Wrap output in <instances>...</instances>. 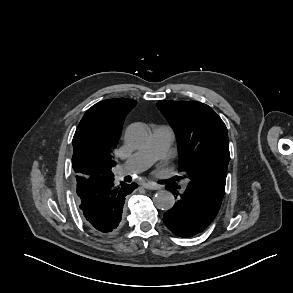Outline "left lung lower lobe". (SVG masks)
I'll return each instance as SVG.
<instances>
[{
  "label": "left lung lower lobe",
  "instance_id": "0a47b994",
  "mask_svg": "<svg viewBox=\"0 0 293 293\" xmlns=\"http://www.w3.org/2000/svg\"><path fill=\"white\" fill-rule=\"evenodd\" d=\"M176 199L174 206L164 213L163 221L175 235L185 238L202 232L216 217L222 200L196 185L181 187L172 181L166 186Z\"/></svg>",
  "mask_w": 293,
  "mask_h": 293
}]
</instances>
